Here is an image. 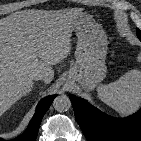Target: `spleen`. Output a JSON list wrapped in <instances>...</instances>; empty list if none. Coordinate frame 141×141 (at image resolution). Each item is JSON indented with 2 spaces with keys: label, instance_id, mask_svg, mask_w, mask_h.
I'll return each instance as SVG.
<instances>
[{
  "label": "spleen",
  "instance_id": "1",
  "mask_svg": "<svg viewBox=\"0 0 141 141\" xmlns=\"http://www.w3.org/2000/svg\"><path fill=\"white\" fill-rule=\"evenodd\" d=\"M105 104L121 114L134 112L141 105V71L130 70L109 84L97 87Z\"/></svg>",
  "mask_w": 141,
  "mask_h": 141
}]
</instances>
